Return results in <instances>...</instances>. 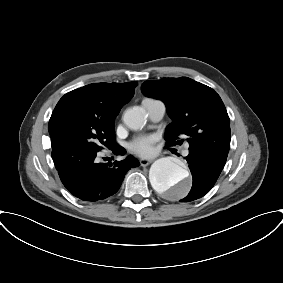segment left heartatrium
Returning a JSON list of instances; mask_svg holds the SVG:
<instances>
[{
	"label": "left heart atrium",
	"mask_w": 283,
	"mask_h": 283,
	"mask_svg": "<svg viewBox=\"0 0 283 283\" xmlns=\"http://www.w3.org/2000/svg\"><path fill=\"white\" fill-rule=\"evenodd\" d=\"M157 141V137L155 135L140 137L135 139L129 144V149L144 158L151 157L155 154V143Z\"/></svg>",
	"instance_id": "1"
}]
</instances>
